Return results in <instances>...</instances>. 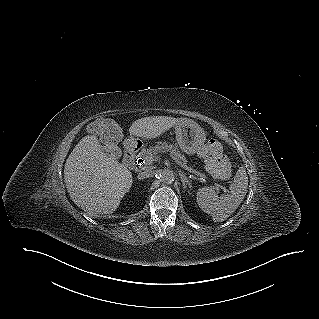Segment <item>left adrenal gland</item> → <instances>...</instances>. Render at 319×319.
Masks as SVG:
<instances>
[{
    "instance_id": "left-adrenal-gland-1",
    "label": "left adrenal gland",
    "mask_w": 319,
    "mask_h": 319,
    "mask_svg": "<svg viewBox=\"0 0 319 319\" xmlns=\"http://www.w3.org/2000/svg\"><path fill=\"white\" fill-rule=\"evenodd\" d=\"M179 175H180V177H181V181H182V183H183L184 188L187 189V186H188L189 188H191V183L189 182L187 176H186L183 172H181V171H179ZM188 192H189V191H188Z\"/></svg>"
}]
</instances>
